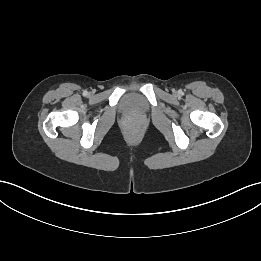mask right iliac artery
<instances>
[{"label":"right iliac artery","mask_w":261,"mask_h":261,"mask_svg":"<svg viewBox=\"0 0 261 261\" xmlns=\"http://www.w3.org/2000/svg\"><path fill=\"white\" fill-rule=\"evenodd\" d=\"M87 94H88V92H87V91H84V92H83V95H84V96H86Z\"/></svg>","instance_id":"1"}]
</instances>
